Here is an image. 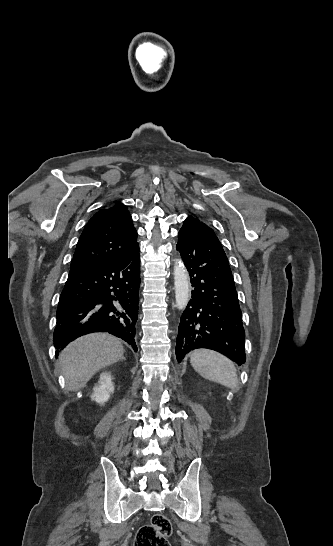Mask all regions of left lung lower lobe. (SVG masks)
I'll list each match as a JSON object with an SVG mask.
<instances>
[{
    "mask_svg": "<svg viewBox=\"0 0 333 546\" xmlns=\"http://www.w3.org/2000/svg\"><path fill=\"white\" fill-rule=\"evenodd\" d=\"M176 249L191 277L192 296L178 327V362L193 349L208 348L245 363V331L232 272L218 238L186 219Z\"/></svg>",
    "mask_w": 333,
    "mask_h": 546,
    "instance_id": "0a47b994",
    "label": "left lung lower lobe"
}]
</instances>
